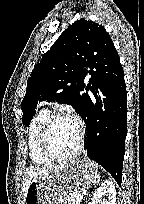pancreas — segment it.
<instances>
[{"instance_id":"obj_1","label":"pancreas","mask_w":144,"mask_h":204,"mask_svg":"<svg viewBox=\"0 0 144 204\" xmlns=\"http://www.w3.org/2000/svg\"><path fill=\"white\" fill-rule=\"evenodd\" d=\"M78 195L80 194H77V193L70 194L69 196L64 198L65 203L63 204H78L77 202Z\"/></svg>"}]
</instances>
